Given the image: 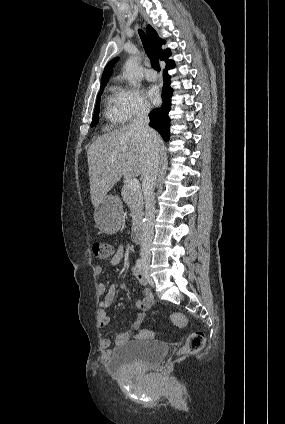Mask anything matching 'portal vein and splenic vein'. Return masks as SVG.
<instances>
[{
    "label": "portal vein and splenic vein",
    "mask_w": 285,
    "mask_h": 424,
    "mask_svg": "<svg viewBox=\"0 0 285 424\" xmlns=\"http://www.w3.org/2000/svg\"><path fill=\"white\" fill-rule=\"evenodd\" d=\"M128 186L131 190L136 191L140 189V183L139 180L136 178H132L128 181Z\"/></svg>",
    "instance_id": "18ae733b"
}]
</instances>
